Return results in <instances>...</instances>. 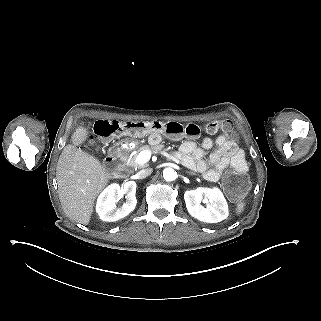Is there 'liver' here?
Segmentation results:
<instances>
[{
    "instance_id": "obj_1",
    "label": "liver",
    "mask_w": 321,
    "mask_h": 321,
    "mask_svg": "<svg viewBox=\"0 0 321 321\" xmlns=\"http://www.w3.org/2000/svg\"><path fill=\"white\" fill-rule=\"evenodd\" d=\"M89 136L86 127L76 128L72 144L65 146L56 168L62 208L73 221L83 225L90 223L95 200L111 178L97 157L78 148Z\"/></svg>"
}]
</instances>
